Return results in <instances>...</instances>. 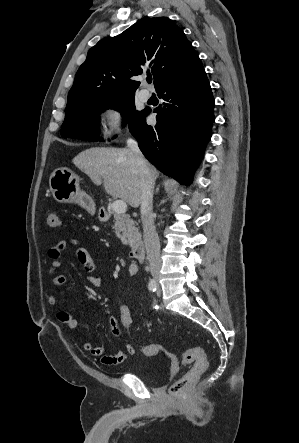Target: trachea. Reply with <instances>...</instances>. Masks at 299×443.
<instances>
[{"mask_svg": "<svg viewBox=\"0 0 299 443\" xmlns=\"http://www.w3.org/2000/svg\"><path fill=\"white\" fill-rule=\"evenodd\" d=\"M147 82H148V83H151V82H152V78H151V77H148V78H147Z\"/></svg>", "mask_w": 299, "mask_h": 443, "instance_id": "obj_1", "label": "trachea"}]
</instances>
